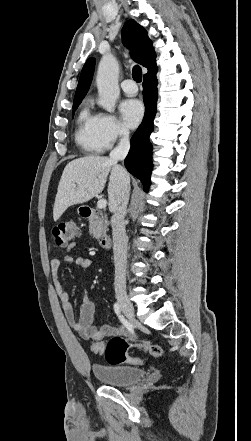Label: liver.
<instances>
[{
	"mask_svg": "<svg viewBox=\"0 0 251 441\" xmlns=\"http://www.w3.org/2000/svg\"><path fill=\"white\" fill-rule=\"evenodd\" d=\"M124 168L108 157L89 155L69 162L62 173L53 208L57 221L68 207L89 201L101 193L107 177L109 210L113 212L123 192Z\"/></svg>",
	"mask_w": 251,
	"mask_h": 441,
	"instance_id": "1",
	"label": "liver"
}]
</instances>
